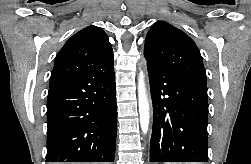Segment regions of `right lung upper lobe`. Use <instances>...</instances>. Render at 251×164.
Here are the masks:
<instances>
[{"mask_svg": "<svg viewBox=\"0 0 251 164\" xmlns=\"http://www.w3.org/2000/svg\"><path fill=\"white\" fill-rule=\"evenodd\" d=\"M112 65L113 51L108 36L101 28L88 26L69 38L57 54L50 86Z\"/></svg>", "mask_w": 251, "mask_h": 164, "instance_id": "1", "label": "right lung upper lobe"}]
</instances>
